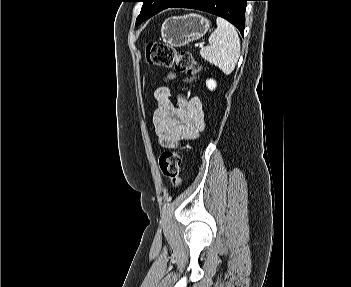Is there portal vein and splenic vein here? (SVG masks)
I'll list each match as a JSON object with an SVG mask.
<instances>
[{
	"mask_svg": "<svg viewBox=\"0 0 351 287\" xmlns=\"http://www.w3.org/2000/svg\"><path fill=\"white\" fill-rule=\"evenodd\" d=\"M200 48H203V45L202 44H200V46H199Z\"/></svg>",
	"mask_w": 351,
	"mask_h": 287,
	"instance_id": "portal-vein-and-splenic-vein-1",
	"label": "portal vein and splenic vein"
}]
</instances>
